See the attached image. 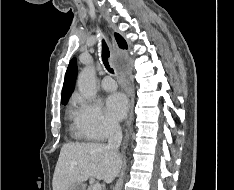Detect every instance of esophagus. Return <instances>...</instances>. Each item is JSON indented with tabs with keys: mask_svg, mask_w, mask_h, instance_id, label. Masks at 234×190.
I'll return each mask as SVG.
<instances>
[{
	"mask_svg": "<svg viewBox=\"0 0 234 190\" xmlns=\"http://www.w3.org/2000/svg\"><path fill=\"white\" fill-rule=\"evenodd\" d=\"M133 107H134V101L131 100V110H130V116H129V123L131 122V119L133 116Z\"/></svg>",
	"mask_w": 234,
	"mask_h": 190,
	"instance_id": "1",
	"label": "esophagus"
}]
</instances>
